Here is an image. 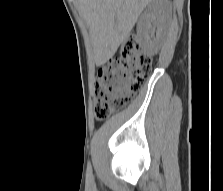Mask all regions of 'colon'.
Segmentation results:
<instances>
[{
    "label": "colon",
    "instance_id": "colon-1",
    "mask_svg": "<svg viewBox=\"0 0 223 191\" xmlns=\"http://www.w3.org/2000/svg\"><path fill=\"white\" fill-rule=\"evenodd\" d=\"M152 71V57L145 53L134 38L121 47L99 72L94 88V114L105 120L123 108L142 88Z\"/></svg>",
    "mask_w": 223,
    "mask_h": 191
}]
</instances>
